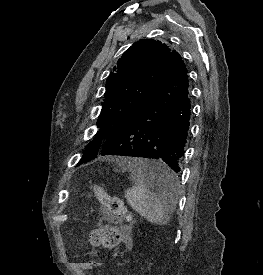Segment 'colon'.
<instances>
[{"label":"colon","mask_w":263,"mask_h":275,"mask_svg":"<svg viewBox=\"0 0 263 275\" xmlns=\"http://www.w3.org/2000/svg\"><path fill=\"white\" fill-rule=\"evenodd\" d=\"M93 193L101 207L115 220H131L132 216L127 212L123 201L108 193L101 185L93 187ZM89 241L93 245L107 249H116L120 244V236L112 226H103L90 233ZM101 265L98 260H88L81 263L83 269L89 270Z\"/></svg>","instance_id":"colon-1"}]
</instances>
